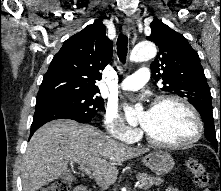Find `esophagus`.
Returning a JSON list of instances; mask_svg holds the SVG:
<instances>
[{"label":"esophagus","instance_id":"esophagus-1","mask_svg":"<svg viewBox=\"0 0 221 191\" xmlns=\"http://www.w3.org/2000/svg\"><path fill=\"white\" fill-rule=\"evenodd\" d=\"M123 30L130 37L132 41L136 39V30L132 19L130 18L125 19L123 24Z\"/></svg>","mask_w":221,"mask_h":191}]
</instances>
